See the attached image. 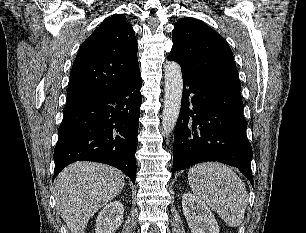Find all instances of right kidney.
<instances>
[{"mask_svg":"<svg viewBox=\"0 0 306 233\" xmlns=\"http://www.w3.org/2000/svg\"><path fill=\"white\" fill-rule=\"evenodd\" d=\"M124 207L120 201H112L98 214L96 233H114L123 222Z\"/></svg>","mask_w":306,"mask_h":233,"instance_id":"ca27d5eb","label":"right kidney"}]
</instances>
